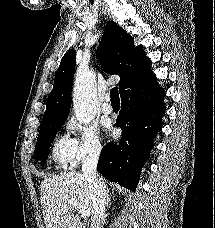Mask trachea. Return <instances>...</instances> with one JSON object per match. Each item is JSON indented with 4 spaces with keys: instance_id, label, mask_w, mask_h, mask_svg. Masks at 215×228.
<instances>
[{
    "instance_id": "obj_1",
    "label": "trachea",
    "mask_w": 215,
    "mask_h": 228,
    "mask_svg": "<svg viewBox=\"0 0 215 228\" xmlns=\"http://www.w3.org/2000/svg\"><path fill=\"white\" fill-rule=\"evenodd\" d=\"M110 97H111V103L112 104L120 103L119 92H118V88L117 87H114V88L111 89Z\"/></svg>"
}]
</instances>
